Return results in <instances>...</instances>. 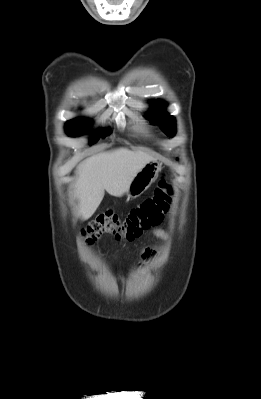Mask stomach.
<instances>
[{
  "label": "stomach",
  "mask_w": 261,
  "mask_h": 399,
  "mask_svg": "<svg viewBox=\"0 0 261 399\" xmlns=\"http://www.w3.org/2000/svg\"><path fill=\"white\" fill-rule=\"evenodd\" d=\"M159 170V163L151 161L147 163L133 178L126 194L129 198H136L143 194L155 181Z\"/></svg>",
  "instance_id": "obj_1"
}]
</instances>
